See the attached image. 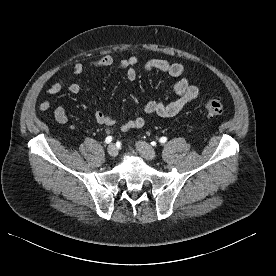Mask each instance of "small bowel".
Instances as JSON below:
<instances>
[{
	"instance_id": "c3829d8e",
	"label": "small bowel",
	"mask_w": 276,
	"mask_h": 276,
	"mask_svg": "<svg viewBox=\"0 0 276 276\" xmlns=\"http://www.w3.org/2000/svg\"><path fill=\"white\" fill-rule=\"evenodd\" d=\"M140 62V57L131 56L122 59L119 63L121 69L126 71V78L128 81L133 82L137 78L136 65ZM114 63V58L111 55H104L97 60H93L89 63L92 68H104L109 67ZM84 67L81 63H75L72 65V70L74 74L82 73ZM144 69L146 71L158 70L166 72L169 76L174 78H179L178 81L173 86V90L178 98L170 102L162 101H150L145 105V112L148 114H156L163 117H173L177 115L187 104L197 98L199 94V88L196 85L189 83L188 79L182 77L185 69L182 64L170 63L165 59H150L144 63ZM64 85L63 80H58L51 84L46 92L50 95L57 94L61 91ZM72 94H78L81 91V87L78 83H71L68 87ZM50 108L49 101H42L38 105L40 111H47ZM54 118L58 123H66L68 121V115L66 110L58 106L54 109ZM94 118L97 123L104 126H113L115 124V119L102 112L99 109H94ZM145 125V119L141 116H135L124 124L121 125V131H129L141 129Z\"/></svg>"
}]
</instances>
